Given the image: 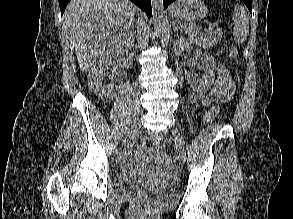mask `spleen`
Returning <instances> with one entry per match:
<instances>
[{
  "label": "spleen",
  "mask_w": 293,
  "mask_h": 219,
  "mask_svg": "<svg viewBox=\"0 0 293 219\" xmlns=\"http://www.w3.org/2000/svg\"><path fill=\"white\" fill-rule=\"evenodd\" d=\"M232 20L234 23V40L238 43H243L249 33V19L244 7L235 5Z\"/></svg>",
  "instance_id": "1"
}]
</instances>
